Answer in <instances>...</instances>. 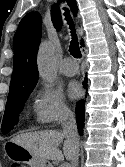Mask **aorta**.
<instances>
[{
  "mask_svg": "<svg viewBox=\"0 0 125 167\" xmlns=\"http://www.w3.org/2000/svg\"><path fill=\"white\" fill-rule=\"evenodd\" d=\"M38 70L40 77L51 84L56 78V68L53 61L52 52L47 43H42L38 52Z\"/></svg>",
  "mask_w": 125,
  "mask_h": 167,
  "instance_id": "obj_1",
  "label": "aorta"
}]
</instances>
